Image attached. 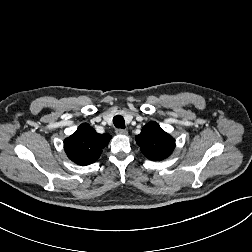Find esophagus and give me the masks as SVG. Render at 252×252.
<instances>
[{
    "mask_svg": "<svg viewBox=\"0 0 252 252\" xmlns=\"http://www.w3.org/2000/svg\"><path fill=\"white\" fill-rule=\"evenodd\" d=\"M116 134H118V135H127L128 132L125 129H116Z\"/></svg>",
    "mask_w": 252,
    "mask_h": 252,
    "instance_id": "obj_1",
    "label": "esophagus"
}]
</instances>
